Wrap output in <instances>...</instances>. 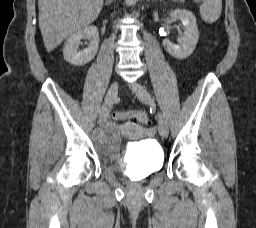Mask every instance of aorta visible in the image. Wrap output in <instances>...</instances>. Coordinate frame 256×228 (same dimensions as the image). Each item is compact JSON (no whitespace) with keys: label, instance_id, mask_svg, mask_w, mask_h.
I'll list each match as a JSON object with an SVG mask.
<instances>
[{"label":"aorta","instance_id":"obj_1","mask_svg":"<svg viewBox=\"0 0 256 228\" xmlns=\"http://www.w3.org/2000/svg\"><path fill=\"white\" fill-rule=\"evenodd\" d=\"M136 0H127V2L130 3H134Z\"/></svg>","mask_w":256,"mask_h":228}]
</instances>
